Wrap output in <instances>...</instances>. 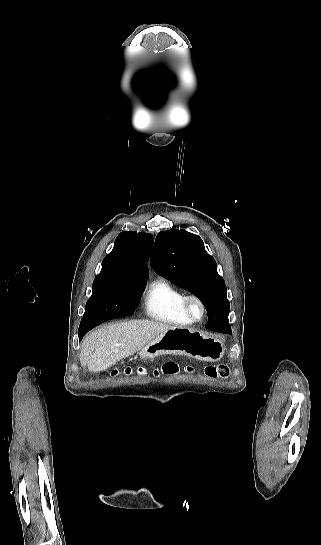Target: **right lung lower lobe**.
I'll list each match as a JSON object with an SVG mask.
<instances>
[{
    "mask_svg": "<svg viewBox=\"0 0 321 545\" xmlns=\"http://www.w3.org/2000/svg\"><path fill=\"white\" fill-rule=\"evenodd\" d=\"M139 300L140 297L134 295H121L112 299L100 308L98 318L95 321L80 323L78 331L79 340L92 328L107 320L132 315L137 308Z\"/></svg>",
    "mask_w": 321,
    "mask_h": 545,
    "instance_id": "1",
    "label": "right lung lower lobe"
}]
</instances>
